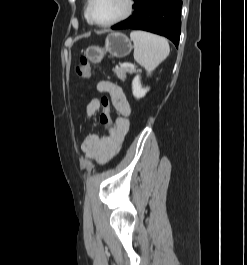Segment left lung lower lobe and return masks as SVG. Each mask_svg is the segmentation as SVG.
<instances>
[{
	"instance_id": "1",
	"label": "left lung lower lobe",
	"mask_w": 247,
	"mask_h": 265,
	"mask_svg": "<svg viewBox=\"0 0 247 265\" xmlns=\"http://www.w3.org/2000/svg\"><path fill=\"white\" fill-rule=\"evenodd\" d=\"M134 12L112 29H139L169 38L178 47L181 32V0H134Z\"/></svg>"
}]
</instances>
